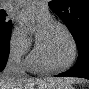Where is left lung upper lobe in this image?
<instances>
[{"label":"left lung upper lobe","mask_w":89,"mask_h":89,"mask_svg":"<svg viewBox=\"0 0 89 89\" xmlns=\"http://www.w3.org/2000/svg\"><path fill=\"white\" fill-rule=\"evenodd\" d=\"M49 7L63 20L77 45L89 35V0H52Z\"/></svg>","instance_id":"left-lung-upper-lobe-1"}]
</instances>
